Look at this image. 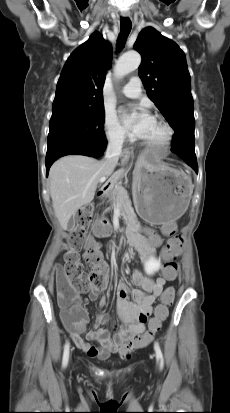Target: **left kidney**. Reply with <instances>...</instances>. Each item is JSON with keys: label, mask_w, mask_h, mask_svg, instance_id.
Here are the masks:
<instances>
[{"label": "left kidney", "mask_w": 230, "mask_h": 413, "mask_svg": "<svg viewBox=\"0 0 230 413\" xmlns=\"http://www.w3.org/2000/svg\"><path fill=\"white\" fill-rule=\"evenodd\" d=\"M160 261L154 258L149 259L145 264V272L147 274H153L160 268Z\"/></svg>", "instance_id": "left-kidney-1"}]
</instances>
